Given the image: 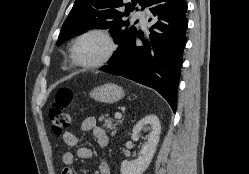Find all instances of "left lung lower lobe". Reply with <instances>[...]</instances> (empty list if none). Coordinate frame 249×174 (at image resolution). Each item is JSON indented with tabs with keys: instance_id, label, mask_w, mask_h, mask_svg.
<instances>
[{
	"instance_id": "0a47b994",
	"label": "left lung lower lobe",
	"mask_w": 249,
	"mask_h": 174,
	"mask_svg": "<svg viewBox=\"0 0 249 174\" xmlns=\"http://www.w3.org/2000/svg\"><path fill=\"white\" fill-rule=\"evenodd\" d=\"M146 7L153 23L148 37L145 39L137 32L119 58L101 70L155 89L175 112L188 27L187 4L185 0H149ZM137 37L143 46L136 45Z\"/></svg>"
}]
</instances>
